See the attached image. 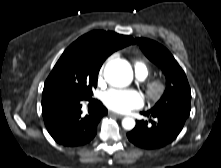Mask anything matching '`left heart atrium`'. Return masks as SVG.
Masks as SVG:
<instances>
[{
  "label": "left heart atrium",
  "mask_w": 221,
  "mask_h": 168,
  "mask_svg": "<svg viewBox=\"0 0 221 168\" xmlns=\"http://www.w3.org/2000/svg\"><path fill=\"white\" fill-rule=\"evenodd\" d=\"M104 104L111 110L127 113L143 105L142 95L135 90L110 89L103 94Z\"/></svg>",
  "instance_id": "obj_1"
}]
</instances>
